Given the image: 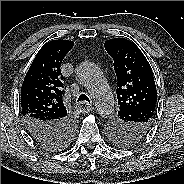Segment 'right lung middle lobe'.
<instances>
[{"label": "right lung middle lobe", "mask_w": 184, "mask_h": 184, "mask_svg": "<svg viewBox=\"0 0 184 184\" xmlns=\"http://www.w3.org/2000/svg\"><path fill=\"white\" fill-rule=\"evenodd\" d=\"M73 131H70V134L66 136V138L64 139V141L60 144H56V145H53V146H47L48 148H52V149H60L62 148L63 146H65L67 144V142H69L71 136L73 135Z\"/></svg>", "instance_id": "dd1d6c3e"}]
</instances>
